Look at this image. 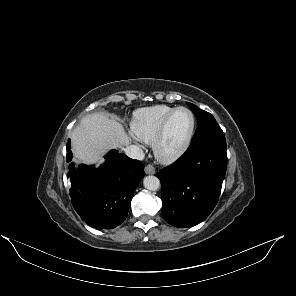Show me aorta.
<instances>
[{
	"label": "aorta",
	"mask_w": 296,
	"mask_h": 296,
	"mask_svg": "<svg viewBox=\"0 0 296 296\" xmlns=\"http://www.w3.org/2000/svg\"><path fill=\"white\" fill-rule=\"evenodd\" d=\"M143 185L148 190L156 191L160 187V181L156 176H146Z\"/></svg>",
	"instance_id": "1"
}]
</instances>
